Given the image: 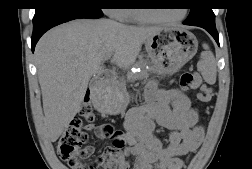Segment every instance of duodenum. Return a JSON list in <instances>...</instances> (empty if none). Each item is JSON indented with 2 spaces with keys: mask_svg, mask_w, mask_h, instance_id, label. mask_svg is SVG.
I'll return each mask as SVG.
<instances>
[{
  "mask_svg": "<svg viewBox=\"0 0 252 169\" xmlns=\"http://www.w3.org/2000/svg\"><path fill=\"white\" fill-rule=\"evenodd\" d=\"M109 77H110V74H109V73H104V74H102L101 76H99L98 79L103 80V79H107V78H109Z\"/></svg>",
  "mask_w": 252,
  "mask_h": 169,
  "instance_id": "410a0bca",
  "label": "duodenum"
}]
</instances>
